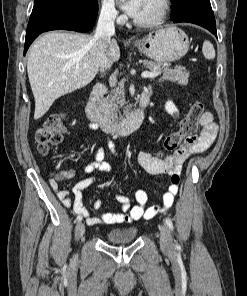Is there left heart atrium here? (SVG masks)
Wrapping results in <instances>:
<instances>
[{"label":"left heart atrium","instance_id":"obj_1","mask_svg":"<svg viewBox=\"0 0 247 296\" xmlns=\"http://www.w3.org/2000/svg\"><path fill=\"white\" fill-rule=\"evenodd\" d=\"M144 0H122V8L131 16L136 17L142 6Z\"/></svg>","mask_w":247,"mask_h":296}]
</instances>
